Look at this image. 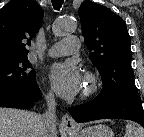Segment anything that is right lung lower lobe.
Here are the masks:
<instances>
[{
    "mask_svg": "<svg viewBox=\"0 0 144 137\" xmlns=\"http://www.w3.org/2000/svg\"><path fill=\"white\" fill-rule=\"evenodd\" d=\"M40 98V89L38 93L33 96H28L17 91L4 90L0 91V107L29 109L32 108L34 102L38 101Z\"/></svg>",
    "mask_w": 144,
    "mask_h": 137,
    "instance_id": "right-lung-lower-lobe-1",
    "label": "right lung lower lobe"
}]
</instances>
